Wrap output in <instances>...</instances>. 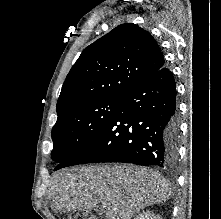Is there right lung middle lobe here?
<instances>
[{
    "label": "right lung middle lobe",
    "mask_w": 221,
    "mask_h": 219,
    "mask_svg": "<svg viewBox=\"0 0 221 219\" xmlns=\"http://www.w3.org/2000/svg\"><path fill=\"white\" fill-rule=\"evenodd\" d=\"M121 98H102L76 105L60 116L52 128L51 159L67 161L81 151L107 124Z\"/></svg>",
    "instance_id": "obj_1"
}]
</instances>
